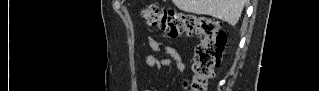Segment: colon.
Listing matches in <instances>:
<instances>
[{
    "label": "colon",
    "mask_w": 319,
    "mask_h": 91,
    "mask_svg": "<svg viewBox=\"0 0 319 91\" xmlns=\"http://www.w3.org/2000/svg\"><path fill=\"white\" fill-rule=\"evenodd\" d=\"M140 16L149 26L158 27L169 37L192 34L200 37L201 42L194 51L192 75L184 87L189 91H208L227 40L220 23L205 15L177 12L156 3L147 4Z\"/></svg>",
    "instance_id": "5ec220e1"
}]
</instances>
